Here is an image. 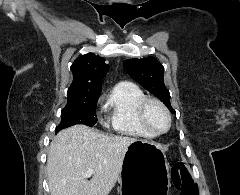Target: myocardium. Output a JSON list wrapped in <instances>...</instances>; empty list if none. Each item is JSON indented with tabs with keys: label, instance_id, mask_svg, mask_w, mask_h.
<instances>
[{
	"label": "myocardium",
	"instance_id": "1",
	"mask_svg": "<svg viewBox=\"0 0 240 195\" xmlns=\"http://www.w3.org/2000/svg\"><path fill=\"white\" fill-rule=\"evenodd\" d=\"M151 105L157 106L165 115L167 120V125L164 130L157 131L148 120L147 111ZM138 119L140 124L145 130L150 132L154 136H160L167 133L171 126V115L167 107L158 99L145 97L138 105Z\"/></svg>",
	"mask_w": 240,
	"mask_h": 195
}]
</instances>
